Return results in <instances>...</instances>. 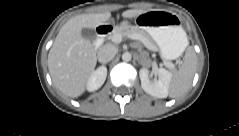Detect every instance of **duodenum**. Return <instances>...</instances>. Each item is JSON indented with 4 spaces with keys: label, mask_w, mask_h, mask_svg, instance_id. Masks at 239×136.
<instances>
[{
    "label": "duodenum",
    "mask_w": 239,
    "mask_h": 136,
    "mask_svg": "<svg viewBox=\"0 0 239 136\" xmlns=\"http://www.w3.org/2000/svg\"><path fill=\"white\" fill-rule=\"evenodd\" d=\"M113 30H114V25H113V23H111V22L108 23V24L99 26V27L97 28V30H96V32H97V37H96V39H95V41H94V47H95V48H98V47L102 44L104 38H105L108 34H110Z\"/></svg>",
    "instance_id": "1"
}]
</instances>
